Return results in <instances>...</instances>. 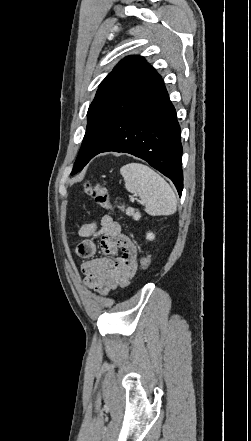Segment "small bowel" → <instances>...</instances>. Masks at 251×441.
I'll use <instances>...</instances> for the list:
<instances>
[{"label":"small bowel","mask_w":251,"mask_h":441,"mask_svg":"<svg viewBox=\"0 0 251 441\" xmlns=\"http://www.w3.org/2000/svg\"><path fill=\"white\" fill-rule=\"evenodd\" d=\"M78 235L82 240L76 252L84 259L80 270L85 285L102 295L117 287L127 286L137 269V247L122 233L121 225L111 216L104 215L99 224L92 222L82 225ZM97 239L103 257H96ZM118 252V257H110Z\"/></svg>","instance_id":"obj_1"}]
</instances>
